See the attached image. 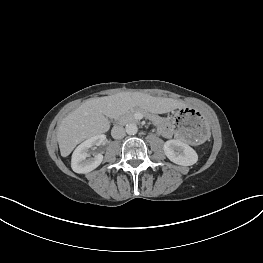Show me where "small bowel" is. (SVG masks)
I'll use <instances>...</instances> for the list:
<instances>
[{
	"label": "small bowel",
	"instance_id": "c3829d8e",
	"mask_svg": "<svg viewBox=\"0 0 263 263\" xmlns=\"http://www.w3.org/2000/svg\"><path fill=\"white\" fill-rule=\"evenodd\" d=\"M160 133L164 137L170 138L174 135V129L169 122L165 121L160 126Z\"/></svg>",
	"mask_w": 263,
	"mask_h": 263
}]
</instances>
